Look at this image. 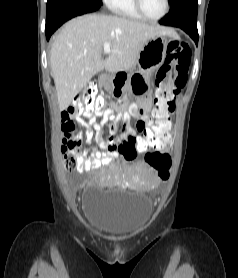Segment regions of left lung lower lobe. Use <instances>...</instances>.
Returning a JSON list of instances; mask_svg holds the SVG:
<instances>
[{
	"mask_svg": "<svg viewBox=\"0 0 238 278\" xmlns=\"http://www.w3.org/2000/svg\"><path fill=\"white\" fill-rule=\"evenodd\" d=\"M171 11L160 24L183 29L198 44L197 0H176L171 4Z\"/></svg>",
	"mask_w": 238,
	"mask_h": 278,
	"instance_id": "1",
	"label": "left lung lower lobe"
}]
</instances>
